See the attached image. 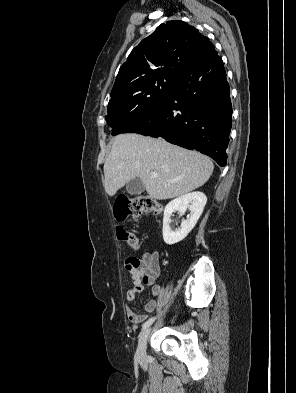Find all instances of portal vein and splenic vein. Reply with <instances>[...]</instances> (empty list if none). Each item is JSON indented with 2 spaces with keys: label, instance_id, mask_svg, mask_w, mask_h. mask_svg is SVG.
<instances>
[{
  "label": "portal vein and splenic vein",
  "instance_id": "obj_1",
  "mask_svg": "<svg viewBox=\"0 0 296 393\" xmlns=\"http://www.w3.org/2000/svg\"><path fill=\"white\" fill-rule=\"evenodd\" d=\"M151 176H152L153 178H156L158 175H157V173L152 172V173H151Z\"/></svg>",
  "mask_w": 296,
  "mask_h": 393
}]
</instances>
